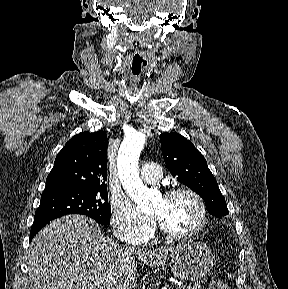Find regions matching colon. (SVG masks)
<instances>
[{
    "label": "colon",
    "mask_w": 288,
    "mask_h": 289,
    "mask_svg": "<svg viewBox=\"0 0 288 289\" xmlns=\"http://www.w3.org/2000/svg\"><path fill=\"white\" fill-rule=\"evenodd\" d=\"M209 289H229V288L225 280L221 278H215L210 282Z\"/></svg>",
    "instance_id": "colon-1"
}]
</instances>
